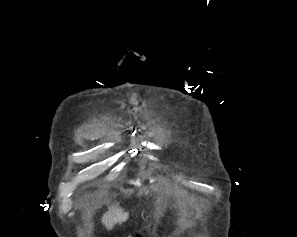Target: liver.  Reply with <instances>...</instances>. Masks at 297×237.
<instances>
[{"label":"liver","instance_id":"liver-1","mask_svg":"<svg viewBox=\"0 0 297 237\" xmlns=\"http://www.w3.org/2000/svg\"><path fill=\"white\" fill-rule=\"evenodd\" d=\"M129 214L124 212L119 206L113 205L103 215L101 221L108 230L113 229L117 223H123L128 219Z\"/></svg>","mask_w":297,"mask_h":237}]
</instances>
